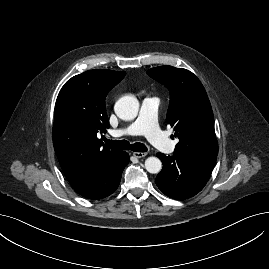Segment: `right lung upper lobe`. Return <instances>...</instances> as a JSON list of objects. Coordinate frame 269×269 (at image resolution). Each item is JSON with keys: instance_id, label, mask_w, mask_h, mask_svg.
<instances>
[{"instance_id": "1", "label": "right lung upper lobe", "mask_w": 269, "mask_h": 269, "mask_svg": "<svg viewBox=\"0 0 269 269\" xmlns=\"http://www.w3.org/2000/svg\"><path fill=\"white\" fill-rule=\"evenodd\" d=\"M125 74L94 69L72 77L60 90L54 110L53 144L68 181L95 173L122 154L103 145L97 134L109 128L105 98Z\"/></svg>"}]
</instances>
